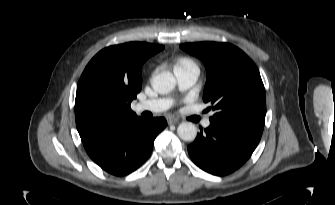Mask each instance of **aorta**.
<instances>
[{"mask_svg": "<svg viewBox=\"0 0 335 205\" xmlns=\"http://www.w3.org/2000/svg\"><path fill=\"white\" fill-rule=\"evenodd\" d=\"M153 89L160 94H167L176 85V80L171 72L164 71L152 78ZM177 134L184 141H193L197 136V128L191 122H183L177 128Z\"/></svg>", "mask_w": 335, "mask_h": 205, "instance_id": "aorta-1", "label": "aorta"}]
</instances>
